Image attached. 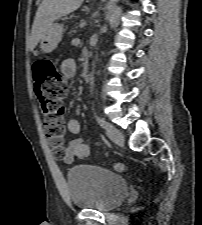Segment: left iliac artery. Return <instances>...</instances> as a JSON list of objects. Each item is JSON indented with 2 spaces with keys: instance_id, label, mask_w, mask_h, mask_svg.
I'll use <instances>...</instances> for the list:
<instances>
[{
  "instance_id": "44dca946",
  "label": "left iliac artery",
  "mask_w": 202,
  "mask_h": 225,
  "mask_svg": "<svg viewBox=\"0 0 202 225\" xmlns=\"http://www.w3.org/2000/svg\"><path fill=\"white\" fill-rule=\"evenodd\" d=\"M93 112H94V117L96 119V121L98 122V124L105 128V129H109L112 127L111 124H109L108 122H106L103 118H101L100 116H98L97 112L95 111V109L93 108Z\"/></svg>"
}]
</instances>
